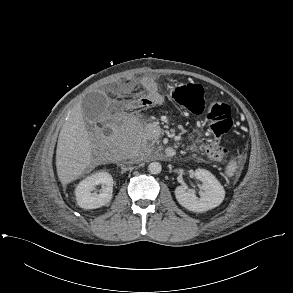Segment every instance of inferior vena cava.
I'll use <instances>...</instances> for the list:
<instances>
[{"instance_id": "obj_1", "label": "inferior vena cava", "mask_w": 293, "mask_h": 293, "mask_svg": "<svg viewBox=\"0 0 293 293\" xmlns=\"http://www.w3.org/2000/svg\"><path fill=\"white\" fill-rule=\"evenodd\" d=\"M134 161H130V163H133ZM131 169V167H126V166H123L122 167V171H126V170H129Z\"/></svg>"}]
</instances>
